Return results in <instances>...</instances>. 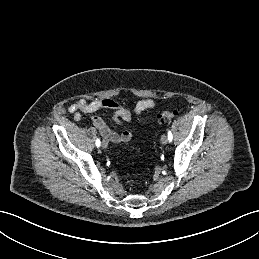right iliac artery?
<instances>
[{
	"instance_id": "1",
	"label": "right iliac artery",
	"mask_w": 259,
	"mask_h": 259,
	"mask_svg": "<svg viewBox=\"0 0 259 259\" xmlns=\"http://www.w3.org/2000/svg\"><path fill=\"white\" fill-rule=\"evenodd\" d=\"M95 144H96L97 147L100 146V139L99 138L96 139V143Z\"/></svg>"
}]
</instances>
